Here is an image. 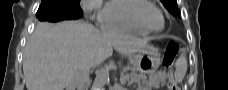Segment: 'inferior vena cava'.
Instances as JSON below:
<instances>
[{
    "mask_svg": "<svg viewBox=\"0 0 228 90\" xmlns=\"http://www.w3.org/2000/svg\"><path fill=\"white\" fill-rule=\"evenodd\" d=\"M89 74H90L89 66H81L80 68H78L71 80L72 88L74 90H87L90 84Z\"/></svg>",
    "mask_w": 228,
    "mask_h": 90,
    "instance_id": "obj_1",
    "label": "inferior vena cava"
}]
</instances>
